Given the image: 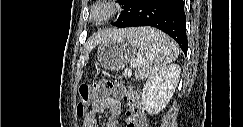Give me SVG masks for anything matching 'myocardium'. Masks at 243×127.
<instances>
[{
	"label": "myocardium",
	"instance_id": "f54148a6",
	"mask_svg": "<svg viewBox=\"0 0 243 127\" xmlns=\"http://www.w3.org/2000/svg\"><path fill=\"white\" fill-rule=\"evenodd\" d=\"M97 9L104 13L100 18H94L93 16V12ZM120 10L121 6L117 0H97L89 7V20L95 25H105L112 21L120 13Z\"/></svg>",
	"mask_w": 243,
	"mask_h": 127
}]
</instances>
